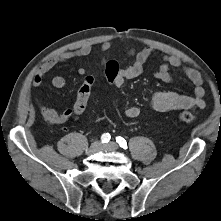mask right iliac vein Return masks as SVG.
<instances>
[{
    "label": "right iliac vein",
    "instance_id": "obj_1",
    "mask_svg": "<svg viewBox=\"0 0 221 221\" xmlns=\"http://www.w3.org/2000/svg\"><path fill=\"white\" fill-rule=\"evenodd\" d=\"M101 147H102V143L99 141H95L90 145V147L87 150V153L89 155H92V154L98 152L101 149Z\"/></svg>",
    "mask_w": 221,
    "mask_h": 221
}]
</instances>
